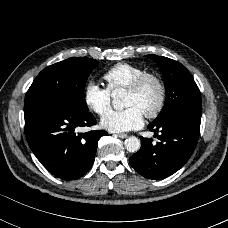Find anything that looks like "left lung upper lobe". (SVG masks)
<instances>
[{"label":"left lung upper lobe","instance_id":"1","mask_svg":"<svg viewBox=\"0 0 228 228\" xmlns=\"http://www.w3.org/2000/svg\"><path fill=\"white\" fill-rule=\"evenodd\" d=\"M161 69L166 88L165 105L153 121L158 122L174 113L201 115V94L190 72L179 62L163 56L148 55Z\"/></svg>","mask_w":228,"mask_h":228}]
</instances>
